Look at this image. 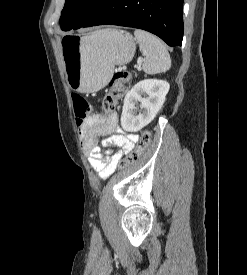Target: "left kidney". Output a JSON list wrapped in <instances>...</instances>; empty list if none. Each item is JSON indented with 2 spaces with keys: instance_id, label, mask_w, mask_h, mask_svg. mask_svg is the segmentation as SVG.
I'll use <instances>...</instances> for the list:
<instances>
[{
  "instance_id": "1",
  "label": "left kidney",
  "mask_w": 247,
  "mask_h": 275,
  "mask_svg": "<svg viewBox=\"0 0 247 275\" xmlns=\"http://www.w3.org/2000/svg\"><path fill=\"white\" fill-rule=\"evenodd\" d=\"M169 88L167 81L159 79H144L135 84L124 98L122 128L128 132H137L148 125L163 106Z\"/></svg>"
}]
</instances>
